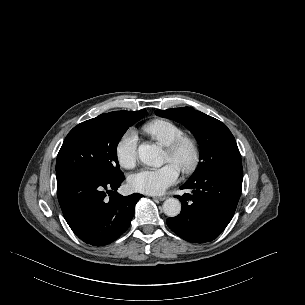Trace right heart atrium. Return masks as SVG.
I'll use <instances>...</instances> for the list:
<instances>
[{"instance_id":"d8ad5b80","label":"right heart atrium","mask_w":305,"mask_h":305,"mask_svg":"<svg viewBox=\"0 0 305 305\" xmlns=\"http://www.w3.org/2000/svg\"><path fill=\"white\" fill-rule=\"evenodd\" d=\"M137 135L134 130H128L119 139L116 145V158L119 165L124 169H132L138 160Z\"/></svg>"}]
</instances>
